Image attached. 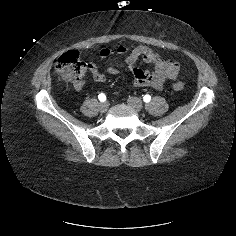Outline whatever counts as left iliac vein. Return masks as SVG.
Returning <instances> with one entry per match:
<instances>
[{
	"label": "left iliac vein",
	"instance_id": "4c4485c4",
	"mask_svg": "<svg viewBox=\"0 0 236 236\" xmlns=\"http://www.w3.org/2000/svg\"><path fill=\"white\" fill-rule=\"evenodd\" d=\"M127 102L136 111H141V109L143 107L142 101L136 97H129Z\"/></svg>",
	"mask_w": 236,
	"mask_h": 236
}]
</instances>
